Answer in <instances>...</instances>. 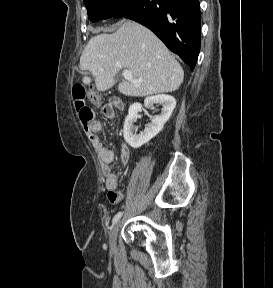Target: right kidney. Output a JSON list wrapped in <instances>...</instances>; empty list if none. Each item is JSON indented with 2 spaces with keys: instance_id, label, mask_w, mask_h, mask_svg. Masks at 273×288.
<instances>
[{
  "instance_id": "right-kidney-1",
  "label": "right kidney",
  "mask_w": 273,
  "mask_h": 288,
  "mask_svg": "<svg viewBox=\"0 0 273 288\" xmlns=\"http://www.w3.org/2000/svg\"><path fill=\"white\" fill-rule=\"evenodd\" d=\"M154 104L162 107L161 113L152 119L151 123L139 134L134 133L133 123L137 119L138 112L142 110V105L140 103H134L129 107L128 115L124 122L123 135L125 141L132 148L136 149L148 143L163 129L164 124L169 120L176 106V100L173 96L165 94L150 96L144 100L145 107Z\"/></svg>"
}]
</instances>
